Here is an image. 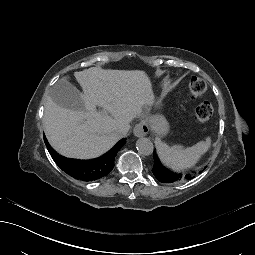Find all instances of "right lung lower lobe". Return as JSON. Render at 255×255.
Listing matches in <instances>:
<instances>
[{
	"label": "right lung lower lobe",
	"instance_id": "obj_1",
	"mask_svg": "<svg viewBox=\"0 0 255 255\" xmlns=\"http://www.w3.org/2000/svg\"><path fill=\"white\" fill-rule=\"evenodd\" d=\"M83 177L86 180L93 179V177H94V166L93 165L86 164L83 166Z\"/></svg>",
	"mask_w": 255,
	"mask_h": 255
}]
</instances>
